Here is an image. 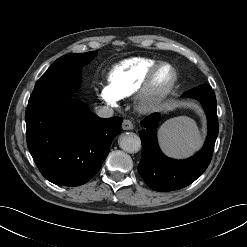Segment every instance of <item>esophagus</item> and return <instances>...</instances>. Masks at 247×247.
<instances>
[{
  "label": "esophagus",
  "instance_id": "obj_1",
  "mask_svg": "<svg viewBox=\"0 0 247 247\" xmlns=\"http://www.w3.org/2000/svg\"><path fill=\"white\" fill-rule=\"evenodd\" d=\"M133 127H134L133 123L130 120L128 119L123 120V123H122L123 130H132Z\"/></svg>",
  "mask_w": 247,
  "mask_h": 247
}]
</instances>
